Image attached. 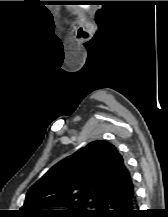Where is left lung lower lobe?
Masks as SVG:
<instances>
[{"label":"left lung lower lobe","mask_w":168,"mask_h":217,"mask_svg":"<svg viewBox=\"0 0 168 217\" xmlns=\"http://www.w3.org/2000/svg\"><path fill=\"white\" fill-rule=\"evenodd\" d=\"M136 194L132 179L103 203L97 217H138Z\"/></svg>","instance_id":"0a47b994"}]
</instances>
